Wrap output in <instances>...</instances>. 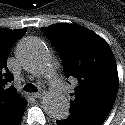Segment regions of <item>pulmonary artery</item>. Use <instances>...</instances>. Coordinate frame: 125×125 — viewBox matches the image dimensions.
Returning <instances> with one entry per match:
<instances>
[{"instance_id":"pulmonary-artery-1","label":"pulmonary artery","mask_w":125,"mask_h":125,"mask_svg":"<svg viewBox=\"0 0 125 125\" xmlns=\"http://www.w3.org/2000/svg\"><path fill=\"white\" fill-rule=\"evenodd\" d=\"M52 87L55 88L58 92L62 94H67L69 92V88L65 85L60 78L55 77L51 80Z\"/></svg>"}]
</instances>
